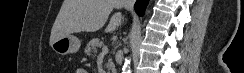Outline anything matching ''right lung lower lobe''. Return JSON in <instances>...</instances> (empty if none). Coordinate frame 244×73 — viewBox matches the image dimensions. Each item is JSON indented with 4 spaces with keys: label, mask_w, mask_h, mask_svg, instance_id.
I'll return each mask as SVG.
<instances>
[{
    "label": "right lung lower lobe",
    "mask_w": 244,
    "mask_h": 73,
    "mask_svg": "<svg viewBox=\"0 0 244 73\" xmlns=\"http://www.w3.org/2000/svg\"><path fill=\"white\" fill-rule=\"evenodd\" d=\"M149 0H137L135 3L136 13L141 16Z\"/></svg>",
    "instance_id": "right-lung-lower-lobe-1"
}]
</instances>
